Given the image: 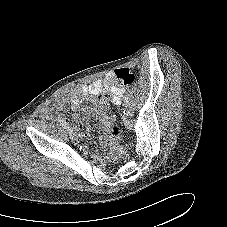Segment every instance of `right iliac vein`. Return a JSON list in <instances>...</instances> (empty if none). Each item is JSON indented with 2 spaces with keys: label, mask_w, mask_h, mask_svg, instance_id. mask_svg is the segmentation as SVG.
I'll list each match as a JSON object with an SVG mask.
<instances>
[{
  "label": "right iliac vein",
  "mask_w": 227,
  "mask_h": 227,
  "mask_svg": "<svg viewBox=\"0 0 227 227\" xmlns=\"http://www.w3.org/2000/svg\"><path fill=\"white\" fill-rule=\"evenodd\" d=\"M67 132L71 138H76V132L73 129L68 127Z\"/></svg>",
  "instance_id": "1"
}]
</instances>
